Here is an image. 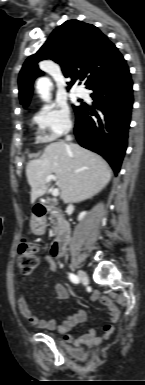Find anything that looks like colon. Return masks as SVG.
<instances>
[{"instance_id":"5ec220e1","label":"colon","mask_w":145,"mask_h":385,"mask_svg":"<svg viewBox=\"0 0 145 385\" xmlns=\"http://www.w3.org/2000/svg\"><path fill=\"white\" fill-rule=\"evenodd\" d=\"M38 247L23 241L17 252V267L21 276H29L38 265Z\"/></svg>"}]
</instances>
